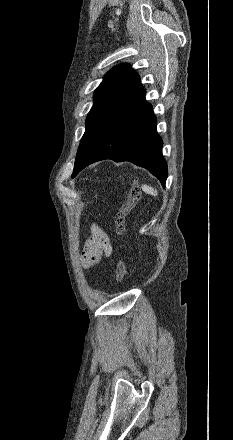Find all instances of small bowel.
Wrapping results in <instances>:
<instances>
[{"instance_id": "small-bowel-1", "label": "small bowel", "mask_w": 233, "mask_h": 440, "mask_svg": "<svg viewBox=\"0 0 233 440\" xmlns=\"http://www.w3.org/2000/svg\"><path fill=\"white\" fill-rule=\"evenodd\" d=\"M109 236L97 225L92 227V234L86 240L81 256V264L85 268L95 266L104 257L112 254Z\"/></svg>"}]
</instances>
